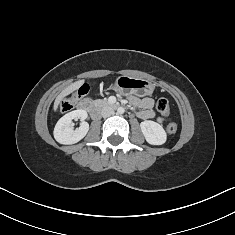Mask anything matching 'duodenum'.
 I'll return each mask as SVG.
<instances>
[{
  "label": "duodenum",
  "instance_id": "1",
  "mask_svg": "<svg viewBox=\"0 0 235 235\" xmlns=\"http://www.w3.org/2000/svg\"><path fill=\"white\" fill-rule=\"evenodd\" d=\"M79 109L89 112L92 116L97 115V108L94 107L93 103L90 100H83L79 104Z\"/></svg>",
  "mask_w": 235,
  "mask_h": 235
}]
</instances>
